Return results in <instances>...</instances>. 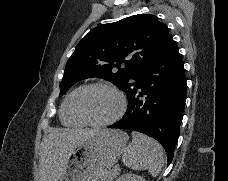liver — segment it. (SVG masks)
I'll return each mask as SVG.
<instances>
[{
	"mask_svg": "<svg viewBox=\"0 0 228 181\" xmlns=\"http://www.w3.org/2000/svg\"><path fill=\"white\" fill-rule=\"evenodd\" d=\"M95 131L104 129H52L43 139L40 151V181H61L73 149Z\"/></svg>",
	"mask_w": 228,
	"mask_h": 181,
	"instance_id": "6515ba94",
	"label": "liver"
}]
</instances>
